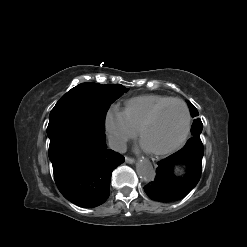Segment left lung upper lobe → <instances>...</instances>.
I'll return each instance as SVG.
<instances>
[{"label":"left lung upper lobe","mask_w":247,"mask_h":247,"mask_svg":"<svg viewBox=\"0 0 247 247\" xmlns=\"http://www.w3.org/2000/svg\"><path fill=\"white\" fill-rule=\"evenodd\" d=\"M189 108L191 112V116L195 118L192 127H191V132L193 134V137H199L203 129V124L201 122V119H199L197 116L199 115L197 109L194 107V105L189 102Z\"/></svg>","instance_id":"obj_1"}]
</instances>
